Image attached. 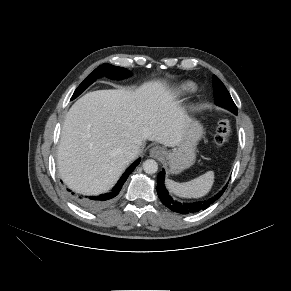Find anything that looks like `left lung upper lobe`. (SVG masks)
Masks as SVG:
<instances>
[{"label": "left lung upper lobe", "mask_w": 291, "mask_h": 291, "mask_svg": "<svg viewBox=\"0 0 291 291\" xmlns=\"http://www.w3.org/2000/svg\"><path fill=\"white\" fill-rule=\"evenodd\" d=\"M213 87L215 103L232 111L233 113H237V107L233 102L229 92L227 91L224 84L220 81V79L215 75L213 76Z\"/></svg>", "instance_id": "5c2ea615"}]
</instances>
